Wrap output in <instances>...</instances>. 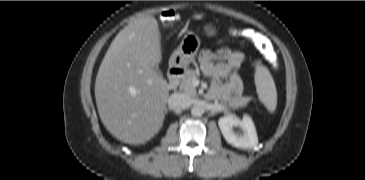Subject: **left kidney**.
I'll list each match as a JSON object with an SVG mask.
<instances>
[{
    "label": "left kidney",
    "mask_w": 365,
    "mask_h": 180,
    "mask_svg": "<svg viewBox=\"0 0 365 180\" xmlns=\"http://www.w3.org/2000/svg\"><path fill=\"white\" fill-rule=\"evenodd\" d=\"M218 125L225 140L232 146L249 149L258 143L254 123L248 115H244L242 120L234 115L221 117Z\"/></svg>",
    "instance_id": "left-kidney-1"
}]
</instances>
